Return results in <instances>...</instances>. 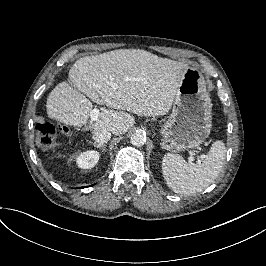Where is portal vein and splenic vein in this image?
<instances>
[{
  "mask_svg": "<svg viewBox=\"0 0 266 266\" xmlns=\"http://www.w3.org/2000/svg\"><path fill=\"white\" fill-rule=\"evenodd\" d=\"M100 108L99 107H95V108H93L92 110H91V112H90V118L92 119V120H96L97 119V117H98V115L100 114ZM193 158L192 157H190L189 159H188V161L189 162H193ZM199 163H200V161H198Z\"/></svg>",
  "mask_w": 266,
  "mask_h": 266,
  "instance_id": "portal-vein-and-splenic-vein-1",
  "label": "portal vein and splenic vein"
}]
</instances>
